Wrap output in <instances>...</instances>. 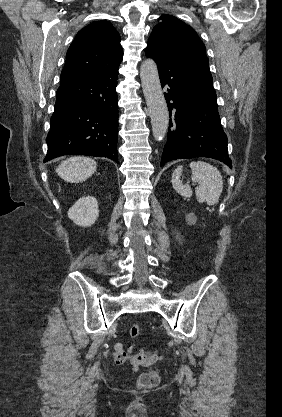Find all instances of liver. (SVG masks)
I'll return each instance as SVG.
<instances>
[{
	"mask_svg": "<svg viewBox=\"0 0 282 417\" xmlns=\"http://www.w3.org/2000/svg\"><path fill=\"white\" fill-rule=\"evenodd\" d=\"M97 166L96 160L88 158V156H71L62 160L57 166L56 172L67 180V182H83L89 176H92Z\"/></svg>",
	"mask_w": 282,
	"mask_h": 417,
	"instance_id": "1",
	"label": "liver"
}]
</instances>
